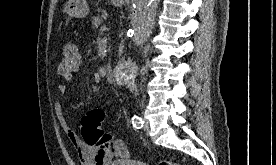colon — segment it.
<instances>
[{
    "label": "colon",
    "mask_w": 276,
    "mask_h": 165,
    "mask_svg": "<svg viewBox=\"0 0 276 165\" xmlns=\"http://www.w3.org/2000/svg\"><path fill=\"white\" fill-rule=\"evenodd\" d=\"M80 65V54L77 46L69 42L62 51L61 59L58 65V72L61 76L72 75ZM105 113L102 109L96 108L90 110L81 121L82 135L84 141L96 148L100 153H112L117 157H124L126 151L115 138L102 129V122ZM158 165H180L176 162L161 160Z\"/></svg>",
    "instance_id": "colon-1"
}]
</instances>
